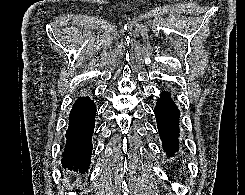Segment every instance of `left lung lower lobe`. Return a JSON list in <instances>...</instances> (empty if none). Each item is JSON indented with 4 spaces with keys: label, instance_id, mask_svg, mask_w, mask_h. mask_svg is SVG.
I'll return each instance as SVG.
<instances>
[{
    "label": "left lung lower lobe",
    "instance_id": "obj_1",
    "mask_svg": "<svg viewBox=\"0 0 245 195\" xmlns=\"http://www.w3.org/2000/svg\"><path fill=\"white\" fill-rule=\"evenodd\" d=\"M154 113L158 125V132L163 142V148L171 156L178 151L179 146V116L180 112L166 92L161 93L157 100Z\"/></svg>",
    "mask_w": 245,
    "mask_h": 195
}]
</instances>
